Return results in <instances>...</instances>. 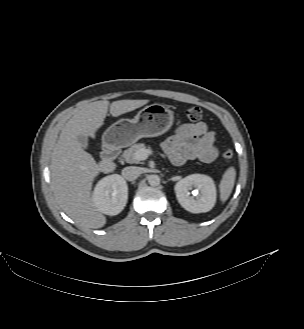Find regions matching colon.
<instances>
[{
    "instance_id": "5ec220e1",
    "label": "colon",
    "mask_w": 304,
    "mask_h": 329,
    "mask_svg": "<svg viewBox=\"0 0 304 329\" xmlns=\"http://www.w3.org/2000/svg\"><path fill=\"white\" fill-rule=\"evenodd\" d=\"M186 116L193 122L200 121L203 118L202 110L199 107H191L187 109ZM233 150L228 146H223L222 157L225 161H230L233 158Z\"/></svg>"
}]
</instances>
